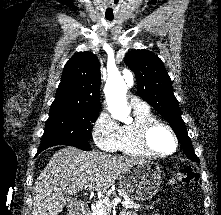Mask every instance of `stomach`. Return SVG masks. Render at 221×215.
Returning a JSON list of instances; mask_svg holds the SVG:
<instances>
[{
    "mask_svg": "<svg viewBox=\"0 0 221 215\" xmlns=\"http://www.w3.org/2000/svg\"><path fill=\"white\" fill-rule=\"evenodd\" d=\"M162 171L154 162H139L119 176L120 190L131 199L145 201L152 198L160 188Z\"/></svg>",
    "mask_w": 221,
    "mask_h": 215,
    "instance_id": "0dacf381",
    "label": "stomach"
}]
</instances>
